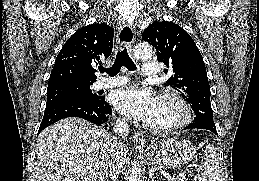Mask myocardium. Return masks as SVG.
Returning a JSON list of instances; mask_svg holds the SVG:
<instances>
[{"label":"myocardium","mask_w":259,"mask_h":181,"mask_svg":"<svg viewBox=\"0 0 259 181\" xmlns=\"http://www.w3.org/2000/svg\"><path fill=\"white\" fill-rule=\"evenodd\" d=\"M158 100H168L174 103L179 109V117L172 123L165 125H155L147 123V128L155 133H171L187 126L192 119V111L187 100L174 89H165L159 96Z\"/></svg>","instance_id":"myocardium-1"}]
</instances>
